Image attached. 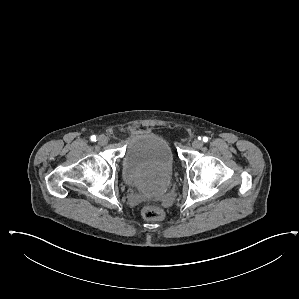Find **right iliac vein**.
<instances>
[{
    "label": "right iliac vein",
    "instance_id": "1",
    "mask_svg": "<svg viewBox=\"0 0 299 299\" xmlns=\"http://www.w3.org/2000/svg\"><path fill=\"white\" fill-rule=\"evenodd\" d=\"M97 142L100 145H106L108 143V138L105 135H99L97 138Z\"/></svg>",
    "mask_w": 299,
    "mask_h": 299
}]
</instances>
